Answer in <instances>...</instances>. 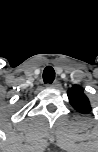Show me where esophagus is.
I'll return each mask as SVG.
<instances>
[{"instance_id":"34e87169","label":"esophagus","mask_w":98,"mask_h":152,"mask_svg":"<svg viewBox=\"0 0 98 152\" xmlns=\"http://www.w3.org/2000/svg\"><path fill=\"white\" fill-rule=\"evenodd\" d=\"M58 86H59V82L58 81H55L52 84H47V87H50V88H57Z\"/></svg>"}]
</instances>
